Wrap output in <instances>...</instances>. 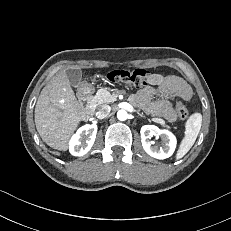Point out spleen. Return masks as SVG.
<instances>
[{"label":"spleen","mask_w":231,"mask_h":231,"mask_svg":"<svg viewBox=\"0 0 231 231\" xmlns=\"http://www.w3.org/2000/svg\"><path fill=\"white\" fill-rule=\"evenodd\" d=\"M202 125V115L192 114L185 124L184 137L181 141L176 158H182L194 145Z\"/></svg>","instance_id":"obj_1"}]
</instances>
